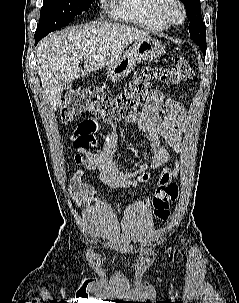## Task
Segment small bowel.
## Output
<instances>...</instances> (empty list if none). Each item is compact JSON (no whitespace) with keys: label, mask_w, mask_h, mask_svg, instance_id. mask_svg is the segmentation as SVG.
Instances as JSON below:
<instances>
[{"label":"small bowel","mask_w":239,"mask_h":303,"mask_svg":"<svg viewBox=\"0 0 239 303\" xmlns=\"http://www.w3.org/2000/svg\"><path fill=\"white\" fill-rule=\"evenodd\" d=\"M163 103L167 104L169 114L161 112ZM182 110L178 104L166 98L158 88L151 91L143 110L128 118L146 137L151 145L152 160L149 164L142 163L135 169L126 171L115 161L114 156L121 143V135L113 123H108L109 131L101 132V124L94 117L81 121L71 136L75 151V162L80 166L77 177L85 171L97 170L100 182L110 188H133L148 181L152 172L160 169L158 188L172 184L178 178L180 164L175 160L170 165L169 150L180 152ZM96 146L94 151H87L88 146ZM83 155V156H82ZM96 189L86 185L78 192L77 204L86 207L88 197L95 194Z\"/></svg>","instance_id":"c3829d8e"}]
</instances>
